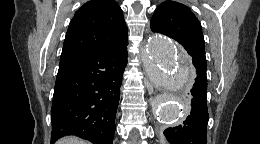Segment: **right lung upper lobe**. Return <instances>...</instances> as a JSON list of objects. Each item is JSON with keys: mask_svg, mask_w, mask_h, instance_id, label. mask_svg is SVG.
<instances>
[{"mask_svg": "<svg viewBox=\"0 0 260 144\" xmlns=\"http://www.w3.org/2000/svg\"><path fill=\"white\" fill-rule=\"evenodd\" d=\"M128 42L121 8L114 0H91L74 15L66 33L61 60Z\"/></svg>", "mask_w": 260, "mask_h": 144, "instance_id": "obj_1", "label": "right lung upper lobe"}]
</instances>
